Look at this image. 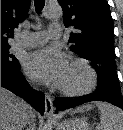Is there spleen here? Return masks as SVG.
I'll use <instances>...</instances> for the list:
<instances>
[{
    "label": "spleen",
    "mask_w": 123,
    "mask_h": 130,
    "mask_svg": "<svg viewBox=\"0 0 123 130\" xmlns=\"http://www.w3.org/2000/svg\"><path fill=\"white\" fill-rule=\"evenodd\" d=\"M101 120L96 130H123V116L118 108L107 103H97Z\"/></svg>",
    "instance_id": "1"
}]
</instances>
